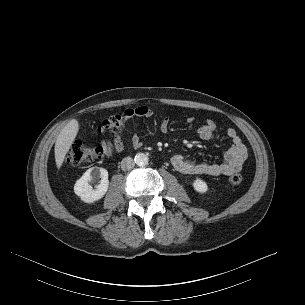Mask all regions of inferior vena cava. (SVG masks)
<instances>
[{
  "mask_svg": "<svg viewBox=\"0 0 305 305\" xmlns=\"http://www.w3.org/2000/svg\"><path fill=\"white\" fill-rule=\"evenodd\" d=\"M135 163L133 158L125 157L121 161V169L124 171L131 170L134 167Z\"/></svg>",
  "mask_w": 305,
  "mask_h": 305,
  "instance_id": "602c4592",
  "label": "inferior vena cava"
}]
</instances>
